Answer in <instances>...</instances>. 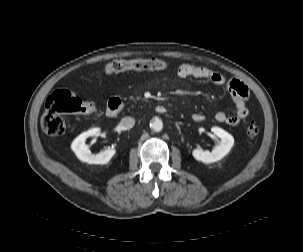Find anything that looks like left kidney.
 Masks as SVG:
<instances>
[{"mask_svg": "<svg viewBox=\"0 0 303 252\" xmlns=\"http://www.w3.org/2000/svg\"><path fill=\"white\" fill-rule=\"evenodd\" d=\"M211 131L221 139L220 143L211 152L202 149H194L192 151V155L196 160L206 164L221 160L230 152L234 145L233 136L222 128L214 126L211 128Z\"/></svg>", "mask_w": 303, "mask_h": 252, "instance_id": "left-kidney-1", "label": "left kidney"}]
</instances>
